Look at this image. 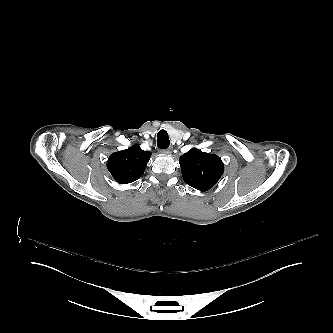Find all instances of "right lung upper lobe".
<instances>
[{
    "instance_id": "1",
    "label": "right lung upper lobe",
    "mask_w": 333,
    "mask_h": 333,
    "mask_svg": "<svg viewBox=\"0 0 333 333\" xmlns=\"http://www.w3.org/2000/svg\"><path fill=\"white\" fill-rule=\"evenodd\" d=\"M150 156L151 152L143 151L138 144H134L126 150L112 153L107 168L118 183H131L143 174Z\"/></svg>"
}]
</instances>
